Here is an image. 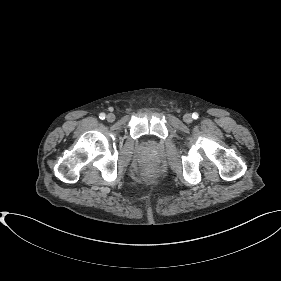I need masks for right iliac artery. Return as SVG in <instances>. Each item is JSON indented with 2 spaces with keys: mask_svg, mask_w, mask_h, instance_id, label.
Listing matches in <instances>:
<instances>
[{
  "mask_svg": "<svg viewBox=\"0 0 281 281\" xmlns=\"http://www.w3.org/2000/svg\"><path fill=\"white\" fill-rule=\"evenodd\" d=\"M105 117H106V115H105L104 113H100V115H99V118H100V119L103 120V119H105Z\"/></svg>",
  "mask_w": 281,
  "mask_h": 281,
  "instance_id": "1",
  "label": "right iliac artery"
}]
</instances>
